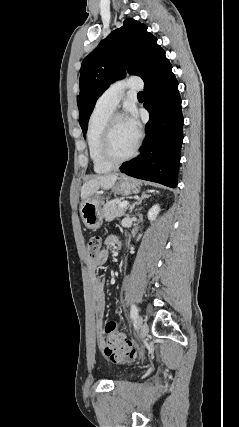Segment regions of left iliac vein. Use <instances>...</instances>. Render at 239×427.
I'll list each match as a JSON object with an SVG mask.
<instances>
[{
    "label": "left iliac vein",
    "instance_id": "4c4485c4",
    "mask_svg": "<svg viewBox=\"0 0 239 427\" xmlns=\"http://www.w3.org/2000/svg\"><path fill=\"white\" fill-rule=\"evenodd\" d=\"M137 326L140 332V338L146 337V335L148 334L149 328H148V325L143 321V318L141 316L137 318Z\"/></svg>",
    "mask_w": 239,
    "mask_h": 427
}]
</instances>
